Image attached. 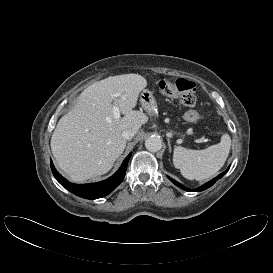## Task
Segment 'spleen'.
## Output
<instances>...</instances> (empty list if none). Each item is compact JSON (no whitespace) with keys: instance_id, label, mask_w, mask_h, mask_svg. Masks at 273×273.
Instances as JSON below:
<instances>
[{"instance_id":"obj_1","label":"spleen","mask_w":273,"mask_h":273,"mask_svg":"<svg viewBox=\"0 0 273 273\" xmlns=\"http://www.w3.org/2000/svg\"><path fill=\"white\" fill-rule=\"evenodd\" d=\"M231 138L223 134L218 144L203 150L186 149L176 146L173 152V164L180 169L183 177L202 181L215 175L224 165L230 151Z\"/></svg>"}]
</instances>
